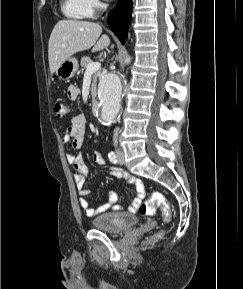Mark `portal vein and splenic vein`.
<instances>
[{
	"mask_svg": "<svg viewBox=\"0 0 243 289\" xmlns=\"http://www.w3.org/2000/svg\"><path fill=\"white\" fill-rule=\"evenodd\" d=\"M101 68V63L100 62H92L88 64L86 73H94L98 71Z\"/></svg>",
	"mask_w": 243,
	"mask_h": 289,
	"instance_id": "1",
	"label": "portal vein and splenic vein"
}]
</instances>
